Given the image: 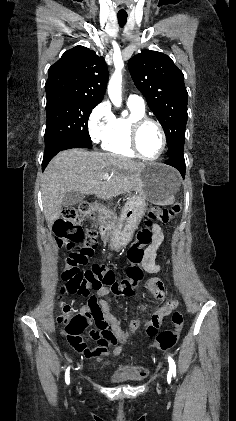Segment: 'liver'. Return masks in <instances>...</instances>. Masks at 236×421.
I'll return each mask as SVG.
<instances>
[{
  "mask_svg": "<svg viewBox=\"0 0 236 421\" xmlns=\"http://www.w3.org/2000/svg\"><path fill=\"white\" fill-rule=\"evenodd\" d=\"M144 162L108 152H89L83 148L61 150L43 172L42 204L48 229L61 215V202L69 190L96 194L110 200L117 194L143 192L141 170ZM109 174L110 178H103Z\"/></svg>",
  "mask_w": 236,
  "mask_h": 421,
  "instance_id": "6515ba94",
  "label": "liver"
}]
</instances>
